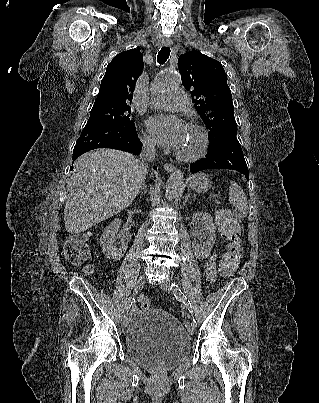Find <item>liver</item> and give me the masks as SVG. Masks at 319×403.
Instances as JSON below:
<instances>
[{
    "label": "liver",
    "mask_w": 319,
    "mask_h": 403,
    "mask_svg": "<svg viewBox=\"0 0 319 403\" xmlns=\"http://www.w3.org/2000/svg\"><path fill=\"white\" fill-rule=\"evenodd\" d=\"M146 174L145 165L126 152L99 149L80 156L67 185L66 231L84 232L127 208Z\"/></svg>",
    "instance_id": "obj_1"
}]
</instances>
